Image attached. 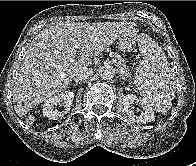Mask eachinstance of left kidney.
<instances>
[{"label": "left kidney", "mask_w": 196, "mask_h": 166, "mask_svg": "<svg viewBox=\"0 0 196 166\" xmlns=\"http://www.w3.org/2000/svg\"><path fill=\"white\" fill-rule=\"evenodd\" d=\"M133 102L141 105L145 111L144 113H141L140 116H136L133 110H130V105L133 104ZM122 103L124 106L123 111L126 112L131 121L146 124L155 120L152 107L144 99H138L136 95L128 94L123 96Z\"/></svg>", "instance_id": "obj_1"}]
</instances>
